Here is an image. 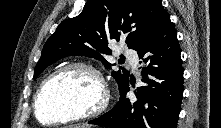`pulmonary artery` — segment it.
<instances>
[{
	"mask_svg": "<svg viewBox=\"0 0 221 128\" xmlns=\"http://www.w3.org/2000/svg\"><path fill=\"white\" fill-rule=\"evenodd\" d=\"M123 53L129 59L132 67L136 69L138 65V55L135 52L128 50L124 51Z\"/></svg>",
	"mask_w": 221,
	"mask_h": 128,
	"instance_id": "obj_1",
	"label": "pulmonary artery"
}]
</instances>
